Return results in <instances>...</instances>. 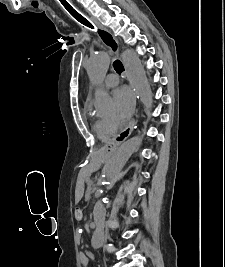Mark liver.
<instances>
[{
    "instance_id": "obj_1",
    "label": "liver",
    "mask_w": 225,
    "mask_h": 267,
    "mask_svg": "<svg viewBox=\"0 0 225 267\" xmlns=\"http://www.w3.org/2000/svg\"><path fill=\"white\" fill-rule=\"evenodd\" d=\"M103 161H104V156L102 155V153L100 151H97V152L93 153L92 158H91V162L85 170L87 172L96 171L100 168ZM82 195H83V187L79 186L77 188V191H76V201L77 202L81 199Z\"/></svg>"
}]
</instances>
